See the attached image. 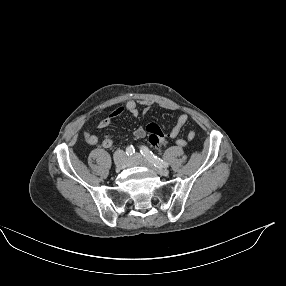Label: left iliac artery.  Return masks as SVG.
Returning a JSON list of instances; mask_svg holds the SVG:
<instances>
[{"label": "left iliac artery", "mask_w": 286, "mask_h": 286, "mask_svg": "<svg viewBox=\"0 0 286 286\" xmlns=\"http://www.w3.org/2000/svg\"><path fill=\"white\" fill-rule=\"evenodd\" d=\"M140 152L148 159L149 162L154 164V166L156 167L166 168L169 165L166 161H163L162 159L155 156L146 146H141Z\"/></svg>", "instance_id": "1"}]
</instances>
